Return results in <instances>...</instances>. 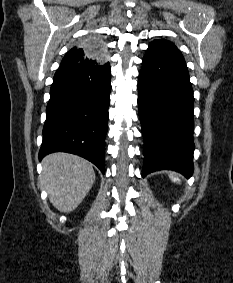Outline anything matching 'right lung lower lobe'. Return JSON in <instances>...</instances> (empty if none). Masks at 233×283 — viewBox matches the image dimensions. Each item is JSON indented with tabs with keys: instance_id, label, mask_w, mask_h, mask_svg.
<instances>
[{
	"instance_id": "obj_1",
	"label": "right lung lower lobe",
	"mask_w": 233,
	"mask_h": 283,
	"mask_svg": "<svg viewBox=\"0 0 233 283\" xmlns=\"http://www.w3.org/2000/svg\"><path fill=\"white\" fill-rule=\"evenodd\" d=\"M109 63L60 66L50 90L39 160L62 151L94 163L103 173L110 100Z\"/></svg>"
}]
</instances>
